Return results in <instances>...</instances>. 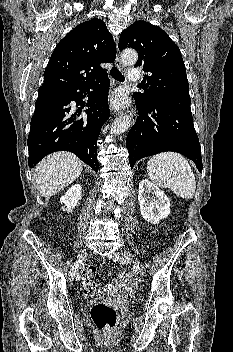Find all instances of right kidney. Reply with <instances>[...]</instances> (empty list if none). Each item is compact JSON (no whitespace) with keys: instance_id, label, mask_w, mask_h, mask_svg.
<instances>
[{"instance_id":"obj_1","label":"right kidney","mask_w":233,"mask_h":352,"mask_svg":"<svg viewBox=\"0 0 233 352\" xmlns=\"http://www.w3.org/2000/svg\"><path fill=\"white\" fill-rule=\"evenodd\" d=\"M82 188L81 185L75 184L69 190L66 192L64 196L60 198V203L64 204L66 206L67 212H71L72 209L77 205L78 201L81 199V194H82Z\"/></svg>"}]
</instances>
